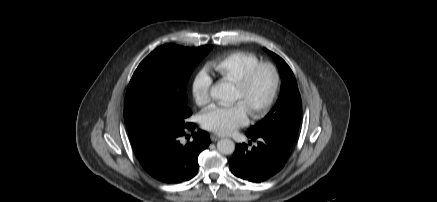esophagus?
Here are the masks:
<instances>
[{
  "instance_id": "obj_1",
  "label": "esophagus",
  "mask_w": 437,
  "mask_h": 202,
  "mask_svg": "<svg viewBox=\"0 0 437 202\" xmlns=\"http://www.w3.org/2000/svg\"><path fill=\"white\" fill-rule=\"evenodd\" d=\"M219 139H221L220 136L215 135V134H212V135H211V140H212L213 142H216V141H218Z\"/></svg>"
}]
</instances>
